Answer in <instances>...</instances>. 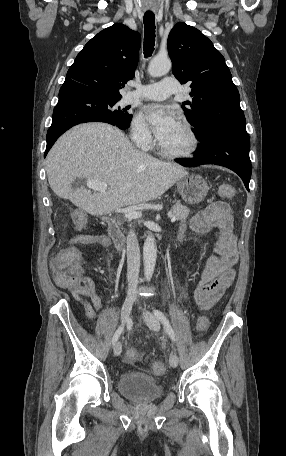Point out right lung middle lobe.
Listing matches in <instances>:
<instances>
[{
  "instance_id": "obj_1",
  "label": "right lung middle lobe",
  "mask_w": 286,
  "mask_h": 456,
  "mask_svg": "<svg viewBox=\"0 0 286 456\" xmlns=\"http://www.w3.org/2000/svg\"><path fill=\"white\" fill-rule=\"evenodd\" d=\"M118 100L101 99L100 104L96 107L95 116L98 121L116 125L122 130L128 128L132 114L127 112L130 107L120 109L116 107Z\"/></svg>"
}]
</instances>
